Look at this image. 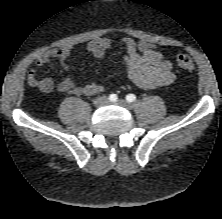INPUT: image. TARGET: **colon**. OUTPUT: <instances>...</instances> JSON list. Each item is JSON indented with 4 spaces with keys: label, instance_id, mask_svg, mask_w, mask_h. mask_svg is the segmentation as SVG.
I'll list each match as a JSON object with an SVG mask.
<instances>
[{
    "label": "colon",
    "instance_id": "colon-1",
    "mask_svg": "<svg viewBox=\"0 0 222 219\" xmlns=\"http://www.w3.org/2000/svg\"><path fill=\"white\" fill-rule=\"evenodd\" d=\"M176 64L180 69L188 72H194L196 70L194 62L186 54H178L176 56Z\"/></svg>",
    "mask_w": 222,
    "mask_h": 219
}]
</instances>
